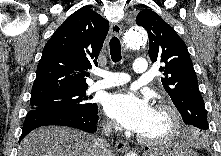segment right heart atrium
Masks as SVG:
<instances>
[{
	"instance_id": "1",
	"label": "right heart atrium",
	"mask_w": 221,
	"mask_h": 156,
	"mask_svg": "<svg viewBox=\"0 0 221 156\" xmlns=\"http://www.w3.org/2000/svg\"><path fill=\"white\" fill-rule=\"evenodd\" d=\"M106 128H107L108 130H113V129H115V125H114L113 122L107 121V122H106Z\"/></svg>"
}]
</instances>
